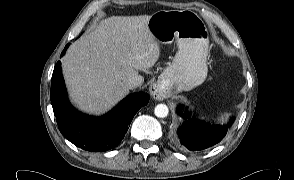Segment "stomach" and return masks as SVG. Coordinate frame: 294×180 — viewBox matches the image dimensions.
Returning <instances> with one entry per match:
<instances>
[{
	"label": "stomach",
	"instance_id": "obj_1",
	"mask_svg": "<svg viewBox=\"0 0 294 180\" xmlns=\"http://www.w3.org/2000/svg\"><path fill=\"white\" fill-rule=\"evenodd\" d=\"M147 27L161 44L177 43L172 64L158 79V87L167 93L188 91L202 84L207 77L209 33L203 20L192 11H157Z\"/></svg>",
	"mask_w": 294,
	"mask_h": 180
}]
</instances>
